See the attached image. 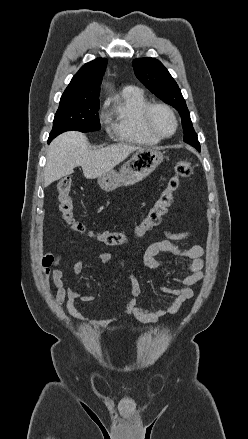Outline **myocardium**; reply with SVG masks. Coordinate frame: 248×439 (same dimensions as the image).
<instances>
[{
    "mask_svg": "<svg viewBox=\"0 0 248 439\" xmlns=\"http://www.w3.org/2000/svg\"><path fill=\"white\" fill-rule=\"evenodd\" d=\"M156 108L165 109L172 117L173 122H174V128L170 134H162L154 127L153 122H152V113H153V110ZM142 118H143V122H144V125L147 128V130L159 139H167V138L172 137L178 129V119H177L175 111L173 110V108L170 105H168L164 102H150L145 107L143 114H142Z\"/></svg>",
    "mask_w": 248,
    "mask_h": 439,
    "instance_id": "obj_1",
    "label": "myocardium"
}]
</instances>
